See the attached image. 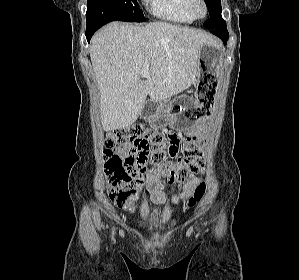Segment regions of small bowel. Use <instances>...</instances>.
Here are the masks:
<instances>
[{
  "label": "small bowel",
  "mask_w": 299,
  "mask_h": 280,
  "mask_svg": "<svg viewBox=\"0 0 299 280\" xmlns=\"http://www.w3.org/2000/svg\"><path fill=\"white\" fill-rule=\"evenodd\" d=\"M197 133L198 129L195 127L188 131L190 136H194ZM117 151L122 157H125L128 153V147L122 146L118 148ZM204 171V164H196L195 168L186 174L185 182L182 185L181 190L178 193L172 194L170 197H167L166 193L164 192L162 173L159 168L152 167L146 170L143 175L142 182L144 183L153 203L159 205L168 204L173 206L177 205L182 199H185L193 194L200 182L197 174L204 173Z\"/></svg>",
  "instance_id": "obj_1"
}]
</instances>
